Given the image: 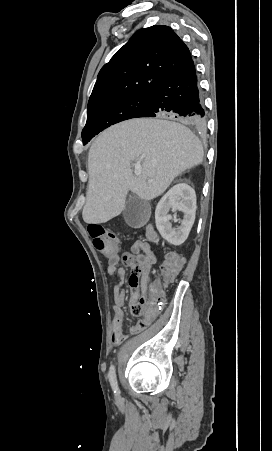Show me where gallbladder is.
Wrapping results in <instances>:
<instances>
[{"label":"gallbladder","instance_id":"1","mask_svg":"<svg viewBox=\"0 0 272 451\" xmlns=\"http://www.w3.org/2000/svg\"><path fill=\"white\" fill-rule=\"evenodd\" d=\"M149 204L138 196H130L126 202L123 216L126 224L131 227H141L148 222Z\"/></svg>","mask_w":272,"mask_h":451}]
</instances>
